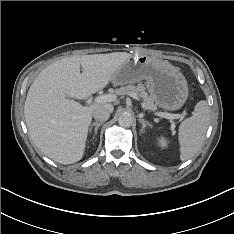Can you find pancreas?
Listing matches in <instances>:
<instances>
[{
	"label": "pancreas",
	"mask_w": 234,
	"mask_h": 234,
	"mask_svg": "<svg viewBox=\"0 0 234 234\" xmlns=\"http://www.w3.org/2000/svg\"><path fill=\"white\" fill-rule=\"evenodd\" d=\"M116 93L118 95L135 94L143 100V106L145 109L151 111H155L157 109L153 99L147 94L145 87L142 84H138L137 86L127 85L125 87H121L116 89Z\"/></svg>",
	"instance_id": "pancreas-1"
}]
</instances>
